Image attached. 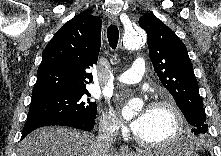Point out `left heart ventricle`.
<instances>
[{"instance_id": "left-heart-ventricle-1", "label": "left heart ventricle", "mask_w": 221, "mask_h": 156, "mask_svg": "<svg viewBox=\"0 0 221 156\" xmlns=\"http://www.w3.org/2000/svg\"><path fill=\"white\" fill-rule=\"evenodd\" d=\"M175 128V117L168 108L150 107L143 126L136 133L145 141L157 142L169 138Z\"/></svg>"}]
</instances>
